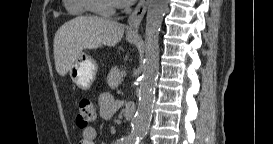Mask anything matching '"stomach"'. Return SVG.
Listing matches in <instances>:
<instances>
[{"label":"stomach","instance_id":"0dacf381","mask_svg":"<svg viewBox=\"0 0 273 144\" xmlns=\"http://www.w3.org/2000/svg\"><path fill=\"white\" fill-rule=\"evenodd\" d=\"M127 40L134 44L137 38L127 37ZM98 65L96 61L87 53L81 52L72 63L69 75L72 81L83 90H88L95 81Z\"/></svg>","mask_w":273,"mask_h":144}]
</instances>
